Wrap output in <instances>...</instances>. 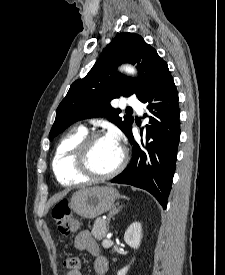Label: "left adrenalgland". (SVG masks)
Returning <instances> with one entry per match:
<instances>
[{
  "instance_id": "1",
  "label": "left adrenal gland",
  "mask_w": 225,
  "mask_h": 275,
  "mask_svg": "<svg viewBox=\"0 0 225 275\" xmlns=\"http://www.w3.org/2000/svg\"><path fill=\"white\" fill-rule=\"evenodd\" d=\"M121 208L122 206H119V203H117L116 206L112 208V210L109 212V215H108V225L110 223L111 218H114V216L121 210Z\"/></svg>"
}]
</instances>
